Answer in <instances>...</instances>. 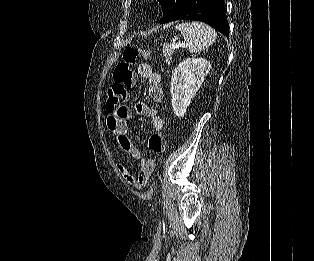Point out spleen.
<instances>
[{
  "instance_id": "1",
  "label": "spleen",
  "mask_w": 314,
  "mask_h": 261,
  "mask_svg": "<svg viewBox=\"0 0 314 261\" xmlns=\"http://www.w3.org/2000/svg\"><path fill=\"white\" fill-rule=\"evenodd\" d=\"M188 43L190 53L200 52L211 46L217 39V34L210 26L201 22L181 23L175 26Z\"/></svg>"
}]
</instances>
